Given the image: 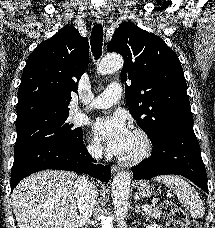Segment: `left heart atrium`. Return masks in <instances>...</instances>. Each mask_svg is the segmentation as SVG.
<instances>
[{"label":"left heart atrium","instance_id":"left-heart-atrium-1","mask_svg":"<svg viewBox=\"0 0 215 228\" xmlns=\"http://www.w3.org/2000/svg\"><path fill=\"white\" fill-rule=\"evenodd\" d=\"M97 139L103 141L116 156H123L130 147L133 132L121 113L97 119L93 125Z\"/></svg>","mask_w":215,"mask_h":228}]
</instances>
